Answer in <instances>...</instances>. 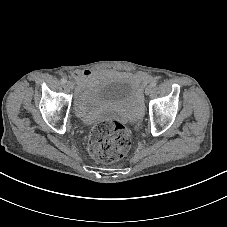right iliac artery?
I'll use <instances>...</instances> for the list:
<instances>
[{"instance_id": "obj_1", "label": "right iliac artery", "mask_w": 227, "mask_h": 227, "mask_svg": "<svg viewBox=\"0 0 227 227\" xmlns=\"http://www.w3.org/2000/svg\"><path fill=\"white\" fill-rule=\"evenodd\" d=\"M61 82H62L63 84H65V83L67 82V79L62 78V79H61Z\"/></svg>"}]
</instances>
